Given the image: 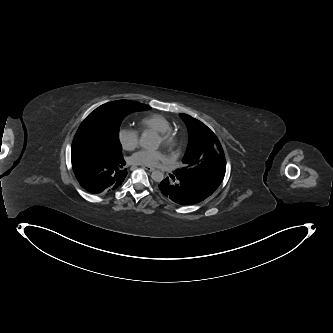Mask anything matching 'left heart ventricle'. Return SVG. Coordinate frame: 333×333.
Returning a JSON list of instances; mask_svg holds the SVG:
<instances>
[{
  "mask_svg": "<svg viewBox=\"0 0 333 333\" xmlns=\"http://www.w3.org/2000/svg\"><path fill=\"white\" fill-rule=\"evenodd\" d=\"M164 145H163V141H162V138H161V136L158 134V135H156V137H155V140H154V142H153V148L154 149H158V148H161V147H163Z\"/></svg>",
  "mask_w": 333,
  "mask_h": 333,
  "instance_id": "obj_1",
  "label": "left heart ventricle"
}]
</instances>
